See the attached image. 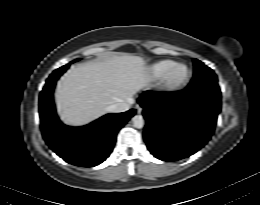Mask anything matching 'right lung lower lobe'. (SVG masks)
<instances>
[{"label": "right lung lower lobe", "mask_w": 260, "mask_h": 205, "mask_svg": "<svg viewBox=\"0 0 260 205\" xmlns=\"http://www.w3.org/2000/svg\"><path fill=\"white\" fill-rule=\"evenodd\" d=\"M67 68L55 70L40 94L42 135L48 146L66 162L80 167H93L110 155L118 131L135 114V110L107 114L78 128L62 124L56 115L53 90L57 79Z\"/></svg>", "instance_id": "obj_1"}]
</instances>
